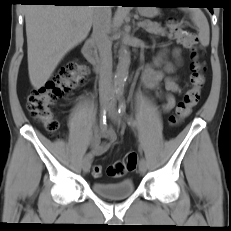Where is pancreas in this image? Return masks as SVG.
<instances>
[{"mask_svg":"<svg viewBox=\"0 0 231 231\" xmlns=\"http://www.w3.org/2000/svg\"><path fill=\"white\" fill-rule=\"evenodd\" d=\"M144 29L151 34L155 35H166V30L160 26V24L156 22H151L150 20H145L142 22Z\"/></svg>","mask_w":231,"mask_h":231,"instance_id":"1","label":"pancreas"}]
</instances>
